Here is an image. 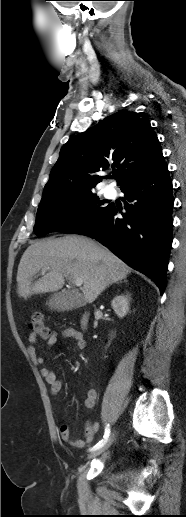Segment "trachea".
Listing matches in <instances>:
<instances>
[{
    "label": "trachea",
    "mask_w": 186,
    "mask_h": 517,
    "mask_svg": "<svg viewBox=\"0 0 186 517\" xmlns=\"http://www.w3.org/2000/svg\"><path fill=\"white\" fill-rule=\"evenodd\" d=\"M113 178H114V179H117V174H116V173H115V174H113Z\"/></svg>",
    "instance_id": "obj_1"
}]
</instances>
